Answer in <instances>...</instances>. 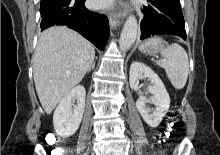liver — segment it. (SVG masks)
I'll use <instances>...</instances> for the list:
<instances>
[{
  "mask_svg": "<svg viewBox=\"0 0 220 155\" xmlns=\"http://www.w3.org/2000/svg\"><path fill=\"white\" fill-rule=\"evenodd\" d=\"M94 58V46L65 26L48 28L40 35L34 53L33 75L46 114L82 81Z\"/></svg>",
  "mask_w": 220,
  "mask_h": 155,
  "instance_id": "1",
  "label": "liver"
}]
</instances>
